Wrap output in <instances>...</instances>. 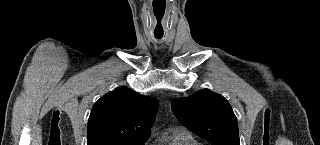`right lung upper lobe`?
<instances>
[{"mask_svg": "<svg viewBox=\"0 0 320 145\" xmlns=\"http://www.w3.org/2000/svg\"><path fill=\"white\" fill-rule=\"evenodd\" d=\"M159 103L127 87H118L93 106L88 121L87 145L139 143L150 137Z\"/></svg>", "mask_w": 320, "mask_h": 145, "instance_id": "right-lung-upper-lobe-1", "label": "right lung upper lobe"}]
</instances>
